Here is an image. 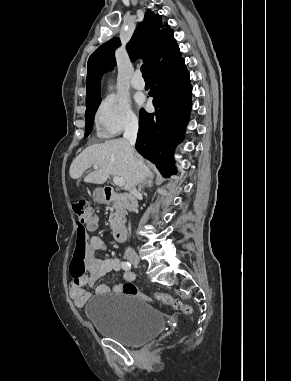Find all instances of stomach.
I'll use <instances>...</instances> for the list:
<instances>
[{
	"label": "stomach",
	"instance_id": "1",
	"mask_svg": "<svg viewBox=\"0 0 291 381\" xmlns=\"http://www.w3.org/2000/svg\"><path fill=\"white\" fill-rule=\"evenodd\" d=\"M93 197L99 203L104 201V198H103L100 190H98V189L94 191Z\"/></svg>",
	"mask_w": 291,
	"mask_h": 381
}]
</instances>
